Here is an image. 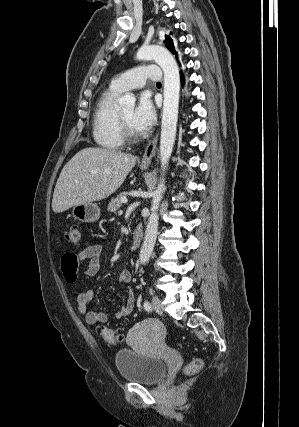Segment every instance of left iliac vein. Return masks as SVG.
Wrapping results in <instances>:
<instances>
[{"instance_id":"1","label":"left iliac vein","mask_w":299,"mask_h":427,"mask_svg":"<svg viewBox=\"0 0 299 427\" xmlns=\"http://www.w3.org/2000/svg\"><path fill=\"white\" fill-rule=\"evenodd\" d=\"M152 305H153V309L158 314H163V307H162V304H161V300L158 297H153V299H152Z\"/></svg>"}]
</instances>
